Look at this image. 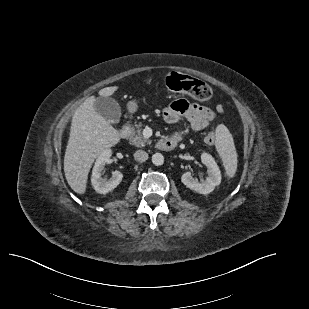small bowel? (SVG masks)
I'll return each mask as SVG.
<instances>
[{
  "label": "small bowel",
  "instance_id": "obj_1",
  "mask_svg": "<svg viewBox=\"0 0 309 309\" xmlns=\"http://www.w3.org/2000/svg\"><path fill=\"white\" fill-rule=\"evenodd\" d=\"M223 112V106L218 105L216 110L189 103L183 99L174 101L163 110V117L168 123H176L180 118H185L194 130L205 129L217 114ZM178 141L180 134L174 135Z\"/></svg>",
  "mask_w": 309,
  "mask_h": 309
}]
</instances>
